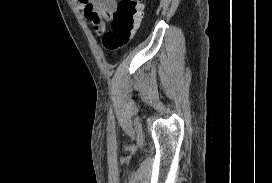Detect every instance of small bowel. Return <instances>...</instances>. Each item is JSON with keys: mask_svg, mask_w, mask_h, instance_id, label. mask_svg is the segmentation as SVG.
I'll return each instance as SVG.
<instances>
[{"mask_svg": "<svg viewBox=\"0 0 272 183\" xmlns=\"http://www.w3.org/2000/svg\"><path fill=\"white\" fill-rule=\"evenodd\" d=\"M85 18L97 31L105 29V22L112 20L116 0H78Z\"/></svg>", "mask_w": 272, "mask_h": 183, "instance_id": "small-bowel-1", "label": "small bowel"}]
</instances>
